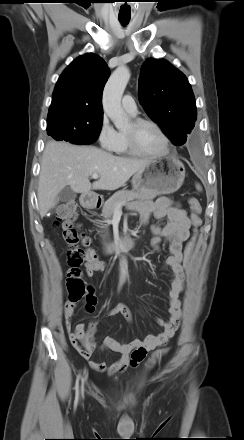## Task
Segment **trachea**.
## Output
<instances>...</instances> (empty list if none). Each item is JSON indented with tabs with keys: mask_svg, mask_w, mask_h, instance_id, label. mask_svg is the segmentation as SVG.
Here are the masks:
<instances>
[{
	"mask_svg": "<svg viewBox=\"0 0 244 440\" xmlns=\"http://www.w3.org/2000/svg\"><path fill=\"white\" fill-rule=\"evenodd\" d=\"M122 25H127L129 23L130 18H119Z\"/></svg>",
	"mask_w": 244,
	"mask_h": 440,
	"instance_id": "trachea-1",
	"label": "trachea"
}]
</instances>
